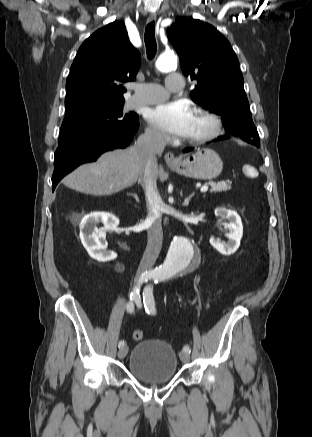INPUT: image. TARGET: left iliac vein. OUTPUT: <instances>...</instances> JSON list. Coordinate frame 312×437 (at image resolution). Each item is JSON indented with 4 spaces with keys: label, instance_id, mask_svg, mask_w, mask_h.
<instances>
[{
    "label": "left iliac vein",
    "instance_id": "4c4485c4",
    "mask_svg": "<svg viewBox=\"0 0 312 437\" xmlns=\"http://www.w3.org/2000/svg\"><path fill=\"white\" fill-rule=\"evenodd\" d=\"M179 355L182 362L188 363L190 361V355L188 352L181 351Z\"/></svg>",
    "mask_w": 312,
    "mask_h": 437
}]
</instances>
